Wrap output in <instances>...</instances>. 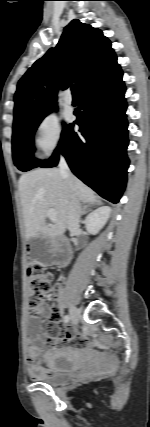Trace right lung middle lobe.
<instances>
[{"mask_svg": "<svg viewBox=\"0 0 150 427\" xmlns=\"http://www.w3.org/2000/svg\"><path fill=\"white\" fill-rule=\"evenodd\" d=\"M55 109L56 107L47 109L35 115L21 119L13 124V160L14 164L21 171H28L41 164L40 161L33 157V135L43 118Z\"/></svg>", "mask_w": 150, "mask_h": 427, "instance_id": "dd1d6c3e", "label": "right lung middle lobe"}]
</instances>
